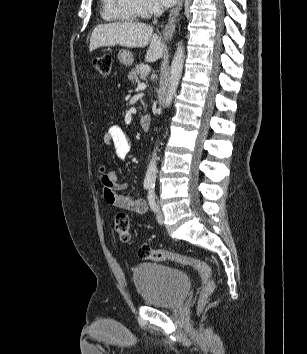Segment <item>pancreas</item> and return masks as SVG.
<instances>
[{"label": "pancreas", "instance_id": "obj_1", "mask_svg": "<svg viewBox=\"0 0 307 354\" xmlns=\"http://www.w3.org/2000/svg\"><path fill=\"white\" fill-rule=\"evenodd\" d=\"M149 74V67L144 64L135 65L128 74L130 81H138L139 78L145 79Z\"/></svg>", "mask_w": 307, "mask_h": 354}]
</instances>
